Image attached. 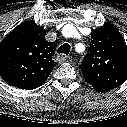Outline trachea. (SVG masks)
<instances>
[{"instance_id": "trachea-1", "label": "trachea", "mask_w": 127, "mask_h": 127, "mask_svg": "<svg viewBox=\"0 0 127 127\" xmlns=\"http://www.w3.org/2000/svg\"><path fill=\"white\" fill-rule=\"evenodd\" d=\"M58 53H63V54H69L70 52V45L65 43L63 45H61L58 50H57Z\"/></svg>"}]
</instances>
